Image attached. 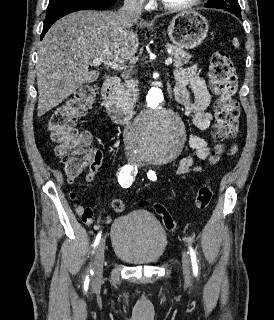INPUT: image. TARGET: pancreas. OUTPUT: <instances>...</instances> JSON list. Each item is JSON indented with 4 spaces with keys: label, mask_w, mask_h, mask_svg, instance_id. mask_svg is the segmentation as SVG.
Wrapping results in <instances>:
<instances>
[{
    "label": "pancreas",
    "mask_w": 274,
    "mask_h": 320,
    "mask_svg": "<svg viewBox=\"0 0 274 320\" xmlns=\"http://www.w3.org/2000/svg\"><path fill=\"white\" fill-rule=\"evenodd\" d=\"M166 50H170L175 68L189 64L191 56L188 52H184L182 48H176V46L167 44ZM137 84H139L138 80H125L123 86L115 88V98H118V102H120L122 106H134L139 92L138 88H136Z\"/></svg>",
    "instance_id": "1"
}]
</instances>
